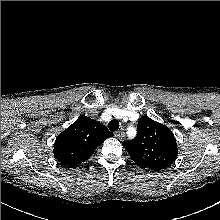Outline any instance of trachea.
I'll return each instance as SVG.
<instances>
[{
	"mask_svg": "<svg viewBox=\"0 0 220 220\" xmlns=\"http://www.w3.org/2000/svg\"><path fill=\"white\" fill-rule=\"evenodd\" d=\"M108 128L109 130L111 131H117L119 129V123L117 120H111L109 123H108Z\"/></svg>",
	"mask_w": 220,
	"mask_h": 220,
	"instance_id": "3493384b",
	"label": "trachea"
}]
</instances>
